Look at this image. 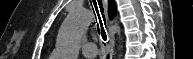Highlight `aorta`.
Returning <instances> with one entry per match:
<instances>
[{
    "mask_svg": "<svg viewBox=\"0 0 193 59\" xmlns=\"http://www.w3.org/2000/svg\"><path fill=\"white\" fill-rule=\"evenodd\" d=\"M93 20V14L86 8L72 10L64 20L57 37V49L61 56L76 59L79 41Z\"/></svg>",
    "mask_w": 193,
    "mask_h": 59,
    "instance_id": "obj_1",
    "label": "aorta"
}]
</instances>
